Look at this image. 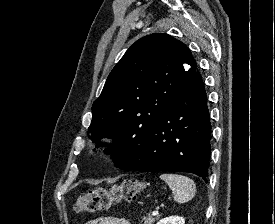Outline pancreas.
<instances>
[{
  "label": "pancreas",
  "mask_w": 275,
  "mask_h": 224,
  "mask_svg": "<svg viewBox=\"0 0 275 224\" xmlns=\"http://www.w3.org/2000/svg\"><path fill=\"white\" fill-rule=\"evenodd\" d=\"M159 219V216L156 217H151L149 216H144L142 218V221L144 222L143 224H153L155 221H157Z\"/></svg>",
  "instance_id": "1"
}]
</instances>
